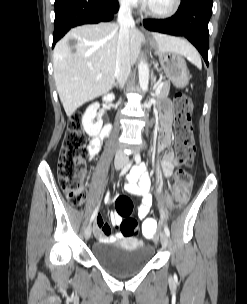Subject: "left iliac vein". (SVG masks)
<instances>
[{
    "mask_svg": "<svg viewBox=\"0 0 247 304\" xmlns=\"http://www.w3.org/2000/svg\"><path fill=\"white\" fill-rule=\"evenodd\" d=\"M160 241H161L162 247L166 248L168 245V236L166 235V233H164V232L161 233Z\"/></svg>",
    "mask_w": 247,
    "mask_h": 304,
    "instance_id": "obj_1",
    "label": "left iliac vein"
}]
</instances>
